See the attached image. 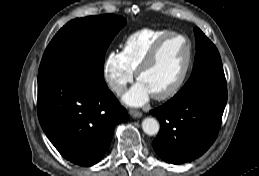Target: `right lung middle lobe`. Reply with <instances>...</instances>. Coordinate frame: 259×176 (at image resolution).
I'll return each mask as SVG.
<instances>
[{
  "instance_id": "obj_1",
  "label": "right lung middle lobe",
  "mask_w": 259,
  "mask_h": 176,
  "mask_svg": "<svg viewBox=\"0 0 259 176\" xmlns=\"http://www.w3.org/2000/svg\"><path fill=\"white\" fill-rule=\"evenodd\" d=\"M125 24L123 17L112 14L71 20L47 46L38 74L62 67H77L103 76L106 50Z\"/></svg>"
}]
</instances>
